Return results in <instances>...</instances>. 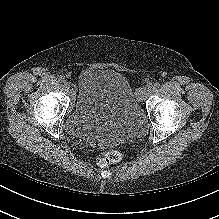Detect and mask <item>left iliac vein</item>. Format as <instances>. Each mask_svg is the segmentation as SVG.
I'll return each instance as SVG.
<instances>
[{
	"label": "left iliac vein",
	"instance_id": "left-iliac-vein-1",
	"mask_svg": "<svg viewBox=\"0 0 219 219\" xmlns=\"http://www.w3.org/2000/svg\"><path fill=\"white\" fill-rule=\"evenodd\" d=\"M152 89L150 87L142 86L137 89L136 97L137 100L142 102L146 99L147 96L150 95Z\"/></svg>",
	"mask_w": 219,
	"mask_h": 219
}]
</instances>
